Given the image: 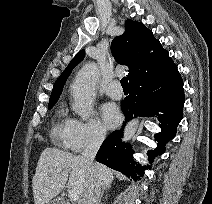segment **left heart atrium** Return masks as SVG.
I'll return each instance as SVG.
<instances>
[{
	"instance_id": "1",
	"label": "left heart atrium",
	"mask_w": 212,
	"mask_h": 204,
	"mask_svg": "<svg viewBox=\"0 0 212 204\" xmlns=\"http://www.w3.org/2000/svg\"><path fill=\"white\" fill-rule=\"evenodd\" d=\"M101 117L105 126L113 128L119 124L121 114L115 104L106 103L101 108Z\"/></svg>"
}]
</instances>
